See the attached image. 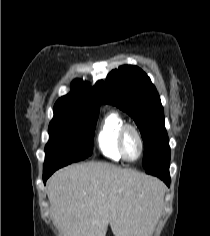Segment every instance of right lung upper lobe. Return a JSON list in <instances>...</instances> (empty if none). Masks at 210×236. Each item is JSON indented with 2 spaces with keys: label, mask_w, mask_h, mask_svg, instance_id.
<instances>
[{
  "label": "right lung upper lobe",
  "mask_w": 210,
  "mask_h": 236,
  "mask_svg": "<svg viewBox=\"0 0 210 236\" xmlns=\"http://www.w3.org/2000/svg\"><path fill=\"white\" fill-rule=\"evenodd\" d=\"M102 88V81H98L94 87H89L86 82L76 79L72 82V91L59 98L54 109L71 111L99 110Z\"/></svg>",
  "instance_id": "cb5924a9"
}]
</instances>
